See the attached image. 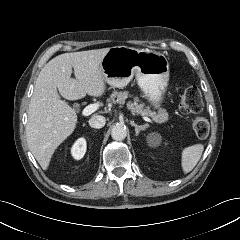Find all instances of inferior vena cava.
<instances>
[{"label": "inferior vena cava", "mask_w": 240, "mask_h": 240, "mask_svg": "<svg viewBox=\"0 0 240 240\" xmlns=\"http://www.w3.org/2000/svg\"><path fill=\"white\" fill-rule=\"evenodd\" d=\"M105 117L101 116V115H94L91 117V119L89 120V125L92 128H102L105 125Z\"/></svg>", "instance_id": "602c4592"}]
</instances>
